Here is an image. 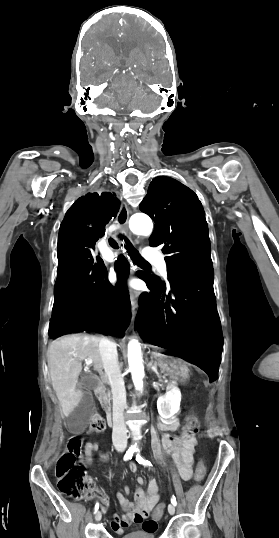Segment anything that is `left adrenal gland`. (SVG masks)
Segmentation results:
<instances>
[{"label": "left adrenal gland", "mask_w": 279, "mask_h": 538, "mask_svg": "<svg viewBox=\"0 0 279 538\" xmlns=\"http://www.w3.org/2000/svg\"><path fill=\"white\" fill-rule=\"evenodd\" d=\"M149 368H155V366H153V358H151V362H149ZM154 372H156L157 378H159V380H161V376H160L159 372H157V368H155Z\"/></svg>", "instance_id": "a2214340"}]
</instances>
